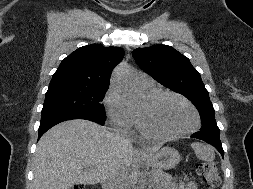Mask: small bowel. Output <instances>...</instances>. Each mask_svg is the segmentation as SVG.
<instances>
[{
	"label": "small bowel",
	"instance_id": "small-bowel-1",
	"mask_svg": "<svg viewBox=\"0 0 253 189\" xmlns=\"http://www.w3.org/2000/svg\"><path fill=\"white\" fill-rule=\"evenodd\" d=\"M170 189H197V185L193 181H181L172 184Z\"/></svg>",
	"mask_w": 253,
	"mask_h": 189
}]
</instances>
